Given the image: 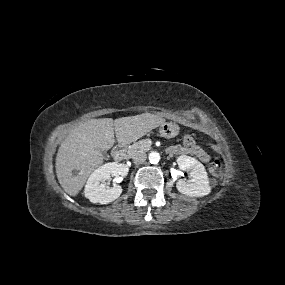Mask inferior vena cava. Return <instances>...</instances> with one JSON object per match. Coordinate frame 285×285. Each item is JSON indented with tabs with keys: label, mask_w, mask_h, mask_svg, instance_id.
<instances>
[{
	"label": "inferior vena cava",
	"mask_w": 285,
	"mask_h": 285,
	"mask_svg": "<svg viewBox=\"0 0 285 285\" xmlns=\"http://www.w3.org/2000/svg\"><path fill=\"white\" fill-rule=\"evenodd\" d=\"M147 156L144 153H137L133 156V162L135 164H141L143 162H145Z\"/></svg>",
	"instance_id": "1"
}]
</instances>
